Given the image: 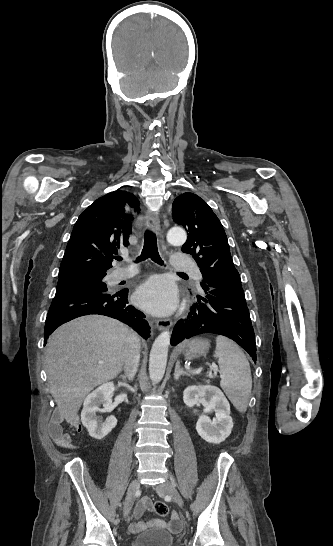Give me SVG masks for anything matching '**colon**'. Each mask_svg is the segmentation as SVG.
I'll return each instance as SVG.
<instances>
[{
	"instance_id": "5ec220e1",
	"label": "colon",
	"mask_w": 333,
	"mask_h": 546,
	"mask_svg": "<svg viewBox=\"0 0 333 546\" xmlns=\"http://www.w3.org/2000/svg\"><path fill=\"white\" fill-rule=\"evenodd\" d=\"M154 511L156 512V514H158L159 516H162V517H165L168 515L169 513V508L168 506L162 502V501H157L155 502L154 504Z\"/></svg>"
}]
</instances>
